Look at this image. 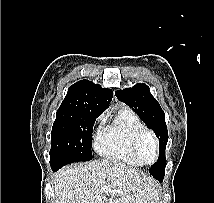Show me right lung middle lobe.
Instances as JSON below:
<instances>
[{
  "instance_id": "right-lung-middle-lobe-1",
  "label": "right lung middle lobe",
  "mask_w": 214,
  "mask_h": 203,
  "mask_svg": "<svg viewBox=\"0 0 214 203\" xmlns=\"http://www.w3.org/2000/svg\"><path fill=\"white\" fill-rule=\"evenodd\" d=\"M101 113L87 107H59L51 132V168L92 159V131Z\"/></svg>"
}]
</instances>
